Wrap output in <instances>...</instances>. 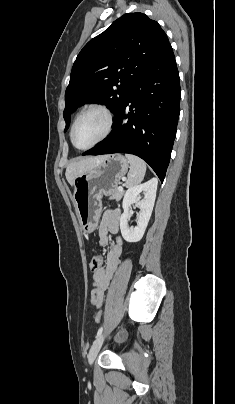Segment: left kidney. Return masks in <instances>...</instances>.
Here are the masks:
<instances>
[{
	"label": "left kidney",
	"mask_w": 235,
	"mask_h": 404,
	"mask_svg": "<svg viewBox=\"0 0 235 404\" xmlns=\"http://www.w3.org/2000/svg\"><path fill=\"white\" fill-rule=\"evenodd\" d=\"M157 184L158 180L152 178L143 184L130 187L126 191L122 203L124 212L120 218V230L125 241L133 243L142 239L154 207ZM142 192L144 198L140 201V193ZM133 203L138 206L140 212L137 215V226L129 228L128 220L131 216L129 208Z\"/></svg>",
	"instance_id": "5707ae66"
}]
</instances>
